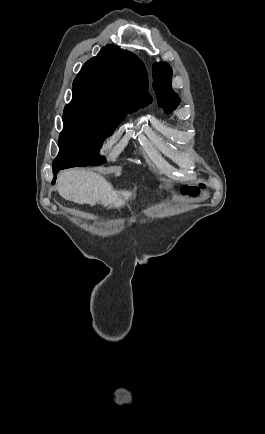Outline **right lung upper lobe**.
Masks as SVG:
<instances>
[{
	"mask_svg": "<svg viewBox=\"0 0 265 434\" xmlns=\"http://www.w3.org/2000/svg\"><path fill=\"white\" fill-rule=\"evenodd\" d=\"M73 89L95 90L108 99L140 107L152 101L142 61L114 45L103 47L83 65L74 79Z\"/></svg>",
	"mask_w": 265,
	"mask_h": 434,
	"instance_id": "right-lung-upper-lobe-1",
	"label": "right lung upper lobe"
}]
</instances>
